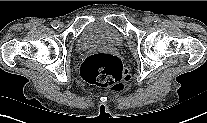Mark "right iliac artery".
Returning <instances> with one entry per match:
<instances>
[{"instance_id":"1","label":"right iliac artery","mask_w":207,"mask_h":123,"mask_svg":"<svg viewBox=\"0 0 207 123\" xmlns=\"http://www.w3.org/2000/svg\"><path fill=\"white\" fill-rule=\"evenodd\" d=\"M51 26L54 28V29H57L59 27V22L54 20L52 23H51Z\"/></svg>"}]
</instances>
